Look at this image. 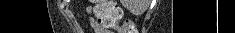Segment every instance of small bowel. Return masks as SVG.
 <instances>
[{"label":"small bowel","mask_w":235,"mask_h":33,"mask_svg":"<svg viewBox=\"0 0 235 33\" xmlns=\"http://www.w3.org/2000/svg\"><path fill=\"white\" fill-rule=\"evenodd\" d=\"M88 12H91V9H88ZM91 27L94 33H112L107 28L103 27L98 21L94 18L90 19Z\"/></svg>","instance_id":"1"}]
</instances>
